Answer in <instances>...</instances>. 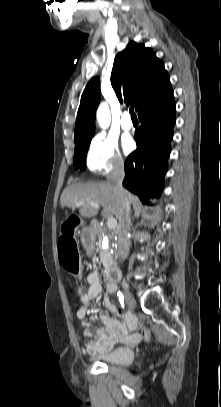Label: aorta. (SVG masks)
I'll list each match as a JSON object with an SVG mask.
<instances>
[{
    "instance_id": "aorta-1",
    "label": "aorta",
    "mask_w": 221,
    "mask_h": 407,
    "mask_svg": "<svg viewBox=\"0 0 221 407\" xmlns=\"http://www.w3.org/2000/svg\"><path fill=\"white\" fill-rule=\"evenodd\" d=\"M97 121L101 128L105 129L110 124V111L106 103H102L97 111Z\"/></svg>"
}]
</instances>
